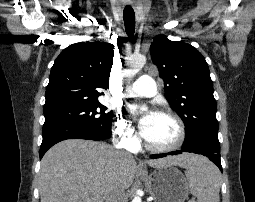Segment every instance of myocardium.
Here are the masks:
<instances>
[{"label":"myocardium","instance_id":"myocardium-1","mask_svg":"<svg viewBox=\"0 0 255 202\" xmlns=\"http://www.w3.org/2000/svg\"><path fill=\"white\" fill-rule=\"evenodd\" d=\"M157 114L170 117L175 122L177 129H178L177 139L174 143H172L170 145L156 146V145L149 143L145 139V137L142 135V141H143L145 148L147 150L155 152V153H167V152H172V151L179 149L183 145V143L186 139V128H185V124H184L183 120L177 113H175L172 110H168V109L160 110L157 112Z\"/></svg>","mask_w":255,"mask_h":202}]
</instances>
